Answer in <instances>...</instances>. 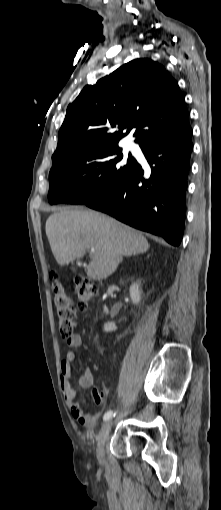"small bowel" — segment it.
Returning a JSON list of instances; mask_svg holds the SVG:
<instances>
[{"mask_svg":"<svg viewBox=\"0 0 221 510\" xmlns=\"http://www.w3.org/2000/svg\"><path fill=\"white\" fill-rule=\"evenodd\" d=\"M67 344L74 350L80 349L83 345L81 335L74 334L67 340ZM69 350L64 359L61 361V387L64 394L66 404L71 410L72 416L75 420L87 427H93L98 422L101 413H89L83 410L80 402L78 401V394L72 387L70 379L72 376L71 365L76 359V352ZM94 383V376L90 368L85 367L81 376L78 378V386L82 389L91 387ZM106 400L105 393H101Z\"/></svg>","mask_w":221,"mask_h":510,"instance_id":"small-bowel-1","label":"small bowel"}]
</instances>
